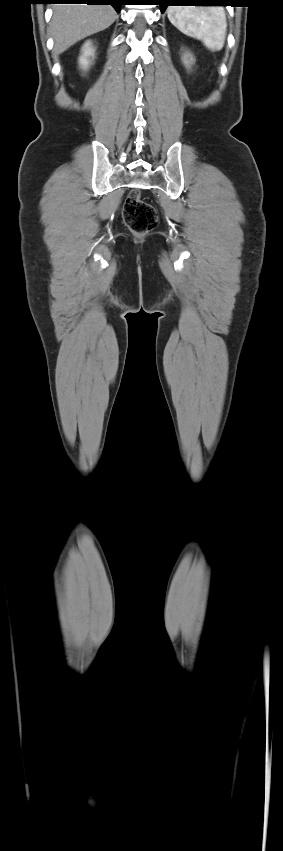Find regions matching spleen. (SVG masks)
Instances as JSON below:
<instances>
[{
	"instance_id": "1",
	"label": "spleen",
	"mask_w": 283,
	"mask_h": 851,
	"mask_svg": "<svg viewBox=\"0 0 283 851\" xmlns=\"http://www.w3.org/2000/svg\"><path fill=\"white\" fill-rule=\"evenodd\" d=\"M169 21L183 34L202 41L210 51H220L225 42L227 20L223 7L171 6Z\"/></svg>"
}]
</instances>
